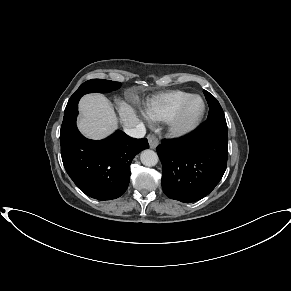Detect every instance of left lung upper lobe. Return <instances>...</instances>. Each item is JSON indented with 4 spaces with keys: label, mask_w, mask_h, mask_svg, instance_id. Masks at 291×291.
Returning <instances> with one entry per match:
<instances>
[{
    "label": "left lung upper lobe",
    "mask_w": 291,
    "mask_h": 291,
    "mask_svg": "<svg viewBox=\"0 0 291 291\" xmlns=\"http://www.w3.org/2000/svg\"><path fill=\"white\" fill-rule=\"evenodd\" d=\"M203 92L209 105V115L207 120L225 119L223 109L215 97L206 90Z\"/></svg>",
    "instance_id": "1"
}]
</instances>
